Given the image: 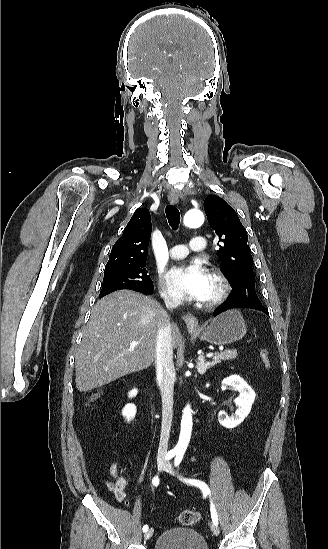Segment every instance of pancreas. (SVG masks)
<instances>
[{"instance_id": "cf45deb5", "label": "pancreas", "mask_w": 328, "mask_h": 549, "mask_svg": "<svg viewBox=\"0 0 328 549\" xmlns=\"http://www.w3.org/2000/svg\"><path fill=\"white\" fill-rule=\"evenodd\" d=\"M238 353L236 349H228V351H223V353H215V357H213V365H217V363H221V361H230V359H236Z\"/></svg>"}]
</instances>
